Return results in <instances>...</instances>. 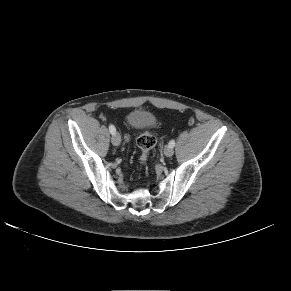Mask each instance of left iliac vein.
Listing matches in <instances>:
<instances>
[{
	"label": "left iliac vein",
	"instance_id": "left-iliac-vein-1",
	"mask_svg": "<svg viewBox=\"0 0 291 291\" xmlns=\"http://www.w3.org/2000/svg\"><path fill=\"white\" fill-rule=\"evenodd\" d=\"M164 154L167 156V157H171L173 154H174V150L172 147L170 146H166L164 148Z\"/></svg>",
	"mask_w": 291,
	"mask_h": 291
}]
</instances>
